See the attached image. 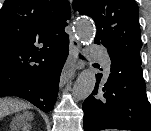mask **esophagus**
<instances>
[{"mask_svg": "<svg viewBox=\"0 0 151 131\" xmlns=\"http://www.w3.org/2000/svg\"><path fill=\"white\" fill-rule=\"evenodd\" d=\"M79 43L74 35H70L69 55L60 77V86L65 85L68 80L74 76L75 72L81 68L78 60Z\"/></svg>", "mask_w": 151, "mask_h": 131, "instance_id": "1", "label": "esophagus"}]
</instances>
